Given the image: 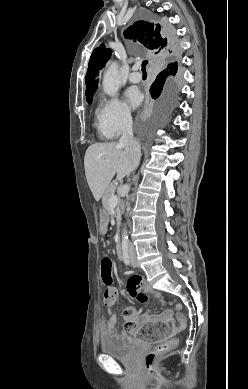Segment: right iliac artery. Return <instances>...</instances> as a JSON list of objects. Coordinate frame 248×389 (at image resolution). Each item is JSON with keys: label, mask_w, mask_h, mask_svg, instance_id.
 <instances>
[{"label": "right iliac artery", "mask_w": 248, "mask_h": 389, "mask_svg": "<svg viewBox=\"0 0 248 389\" xmlns=\"http://www.w3.org/2000/svg\"><path fill=\"white\" fill-rule=\"evenodd\" d=\"M123 260H124V262H125L126 265H129V264H130V259H129L128 252H125V253H124Z\"/></svg>", "instance_id": "1"}]
</instances>
